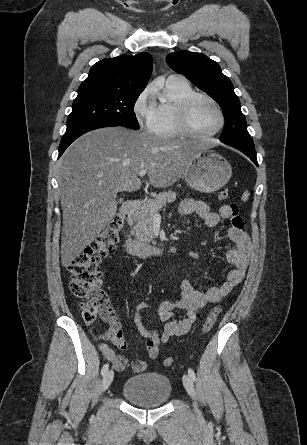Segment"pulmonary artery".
Instances as JSON below:
<instances>
[{
    "mask_svg": "<svg viewBox=\"0 0 307 445\" xmlns=\"http://www.w3.org/2000/svg\"><path fill=\"white\" fill-rule=\"evenodd\" d=\"M172 77H173V78H176V77H177V74H176V73H173V74H172Z\"/></svg>",
    "mask_w": 307,
    "mask_h": 445,
    "instance_id": "pulmonary-artery-1",
    "label": "pulmonary artery"
}]
</instances>
